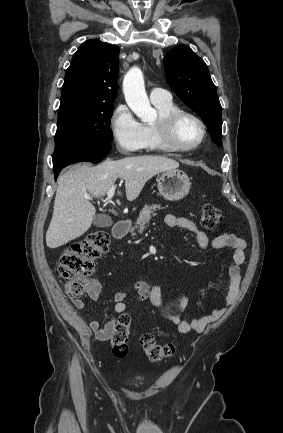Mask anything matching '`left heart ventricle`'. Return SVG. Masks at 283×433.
Listing matches in <instances>:
<instances>
[{
	"mask_svg": "<svg viewBox=\"0 0 283 433\" xmlns=\"http://www.w3.org/2000/svg\"><path fill=\"white\" fill-rule=\"evenodd\" d=\"M201 136V129L199 125L191 118H183L176 130V139L183 145L187 146L194 143Z\"/></svg>",
	"mask_w": 283,
	"mask_h": 433,
	"instance_id": "b2bd125f",
	"label": "left heart ventricle"
}]
</instances>
